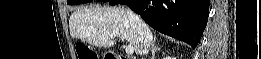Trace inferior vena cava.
<instances>
[{
  "label": "inferior vena cava",
  "instance_id": "obj_1",
  "mask_svg": "<svg viewBox=\"0 0 261 59\" xmlns=\"http://www.w3.org/2000/svg\"><path fill=\"white\" fill-rule=\"evenodd\" d=\"M131 27L136 31L142 45V54L147 55L150 49L152 34L143 20L130 8L126 9Z\"/></svg>",
  "mask_w": 261,
  "mask_h": 59
}]
</instances>
